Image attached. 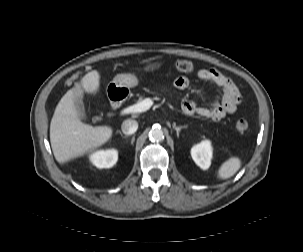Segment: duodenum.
<instances>
[{"label":"duodenum","mask_w":303,"mask_h":252,"mask_svg":"<svg viewBox=\"0 0 303 252\" xmlns=\"http://www.w3.org/2000/svg\"><path fill=\"white\" fill-rule=\"evenodd\" d=\"M126 95V89L124 87H116L111 93V106L113 110H116L121 105Z\"/></svg>","instance_id":"1"}]
</instances>
